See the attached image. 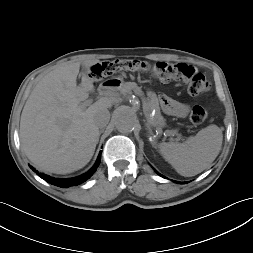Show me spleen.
Instances as JSON below:
<instances>
[{"instance_id": "1", "label": "spleen", "mask_w": 253, "mask_h": 253, "mask_svg": "<svg viewBox=\"0 0 253 253\" xmlns=\"http://www.w3.org/2000/svg\"><path fill=\"white\" fill-rule=\"evenodd\" d=\"M222 141L221 129L216 125H209L183 143H160L159 150L180 175L191 177L211 165L221 150Z\"/></svg>"}]
</instances>
